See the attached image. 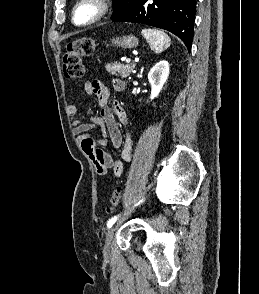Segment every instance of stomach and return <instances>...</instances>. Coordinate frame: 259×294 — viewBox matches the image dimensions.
I'll list each match as a JSON object with an SVG mask.
<instances>
[{"instance_id":"1","label":"stomach","mask_w":259,"mask_h":294,"mask_svg":"<svg viewBox=\"0 0 259 294\" xmlns=\"http://www.w3.org/2000/svg\"><path fill=\"white\" fill-rule=\"evenodd\" d=\"M138 38L133 35L116 37L111 40L113 46L122 47L124 49H132L138 46Z\"/></svg>"}]
</instances>
